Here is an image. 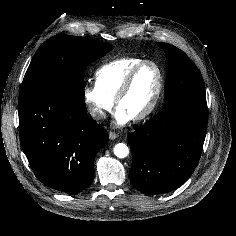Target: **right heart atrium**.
Segmentation results:
<instances>
[{
  "label": "right heart atrium",
  "mask_w": 236,
  "mask_h": 236,
  "mask_svg": "<svg viewBox=\"0 0 236 236\" xmlns=\"http://www.w3.org/2000/svg\"><path fill=\"white\" fill-rule=\"evenodd\" d=\"M83 99L90 115L97 121L104 120L114 105V100L109 98L96 82H89L84 86Z\"/></svg>",
  "instance_id": "1"
}]
</instances>
